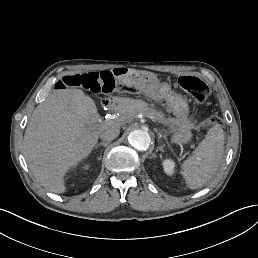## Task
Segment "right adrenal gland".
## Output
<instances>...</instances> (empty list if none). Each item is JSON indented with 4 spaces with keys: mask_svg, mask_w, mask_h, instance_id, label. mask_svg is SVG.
Masks as SVG:
<instances>
[{
    "mask_svg": "<svg viewBox=\"0 0 258 258\" xmlns=\"http://www.w3.org/2000/svg\"><path fill=\"white\" fill-rule=\"evenodd\" d=\"M100 145H102V146H104V147H107V146L109 145V142H101L100 144H97V145L95 146V148H97V147L100 146ZM100 159H101V156L98 157V160H100Z\"/></svg>",
    "mask_w": 258,
    "mask_h": 258,
    "instance_id": "obj_1",
    "label": "right adrenal gland"
}]
</instances>
